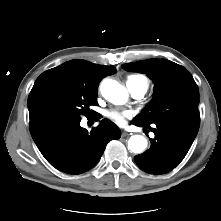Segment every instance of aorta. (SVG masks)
<instances>
[{
  "instance_id": "aorta-1",
  "label": "aorta",
  "mask_w": 221,
  "mask_h": 221,
  "mask_svg": "<svg viewBox=\"0 0 221 221\" xmlns=\"http://www.w3.org/2000/svg\"><path fill=\"white\" fill-rule=\"evenodd\" d=\"M101 94L109 102L122 105L127 102L128 91L113 79H105L101 83ZM147 147V140L142 135H133L128 141V148L133 153H142Z\"/></svg>"
}]
</instances>
